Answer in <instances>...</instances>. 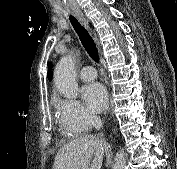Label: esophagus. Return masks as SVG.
Masks as SVG:
<instances>
[{
  "label": "esophagus",
  "instance_id": "obj_1",
  "mask_svg": "<svg viewBox=\"0 0 177 169\" xmlns=\"http://www.w3.org/2000/svg\"><path fill=\"white\" fill-rule=\"evenodd\" d=\"M72 11H73V13L77 16V18H78V20L81 22V24H82L84 27L90 29L89 23H88L87 19L84 17V15H83V13L81 12V10L79 9V7H78V6L72 7Z\"/></svg>",
  "mask_w": 177,
  "mask_h": 169
}]
</instances>
